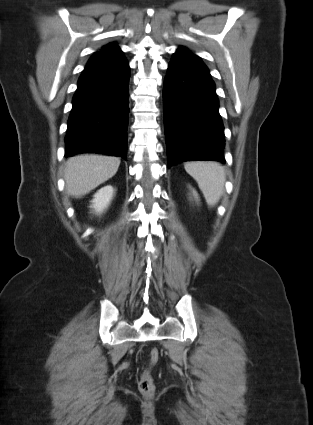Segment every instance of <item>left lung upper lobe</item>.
<instances>
[{
	"instance_id": "5c2ea615",
	"label": "left lung upper lobe",
	"mask_w": 313,
	"mask_h": 425,
	"mask_svg": "<svg viewBox=\"0 0 313 425\" xmlns=\"http://www.w3.org/2000/svg\"><path fill=\"white\" fill-rule=\"evenodd\" d=\"M177 53H184L186 55L191 56L194 59L201 60L198 56L194 55L191 51H189L186 47H179Z\"/></svg>"
}]
</instances>
